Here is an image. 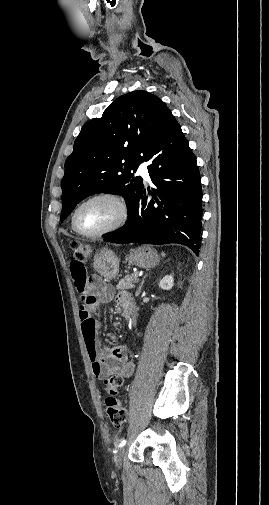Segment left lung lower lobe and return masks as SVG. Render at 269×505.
I'll list each match as a JSON object with an SVG mask.
<instances>
[{
  "instance_id": "0a47b994",
  "label": "left lung lower lobe",
  "mask_w": 269,
  "mask_h": 505,
  "mask_svg": "<svg viewBox=\"0 0 269 505\" xmlns=\"http://www.w3.org/2000/svg\"><path fill=\"white\" fill-rule=\"evenodd\" d=\"M145 161L155 188L141 185L126 224L104 237L113 243H178L197 255L201 242L202 188L196 157L168 112L152 135Z\"/></svg>"
}]
</instances>
